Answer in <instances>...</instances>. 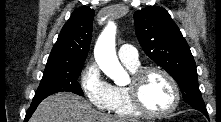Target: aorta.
<instances>
[{"label":"aorta","instance_id":"1","mask_svg":"<svg viewBox=\"0 0 221 122\" xmlns=\"http://www.w3.org/2000/svg\"><path fill=\"white\" fill-rule=\"evenodd\" d=\"M115 34L116 26L110 23L99 36L95 45L94 55L100 69L115 84L121 85L127 80V74L116 55Z\"/></svg>","mask_w":221,"mask_h":122}]
</instances>
